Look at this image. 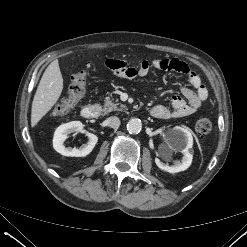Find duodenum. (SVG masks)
<instances>
[{
	"mask_svg": "<svg viewBox=\"0 0 247 247\" xmlns=\"http://www.w3.org/2000/svg\"><path fill=\"white\" fill-rule=\"evenodd\" d=\"M81 115L85 119H95L99 116V109L95 105H87L82 108Z\"/></svg>",
	"mask_w": 247,
	"mask_h": 247,
	"instance_id": "410a0bca",
	"label": "duodenum"
}]
</instances>
